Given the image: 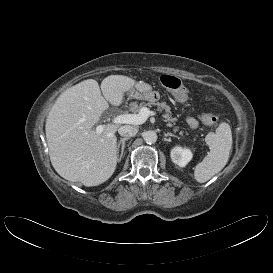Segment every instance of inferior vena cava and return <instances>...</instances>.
Masks as SVG:
<instances>
[{
    "label": "inferior vena cava",
    "mask_w": 273,
    "mask_h": 273,
    "mask_svg": "<svg viewBox=\"0 0 273 273\" xmlns=\"http://www.w3.org/2000/svg\"><path fill=\"white\" fill-rule=\"evenodd\" d=\"M137 132V128L130 125H124L118 129V133L125 138L133 137L137 134Z\"/></svg>",
    "instance_id": "602c4592"
}]
</instances>
